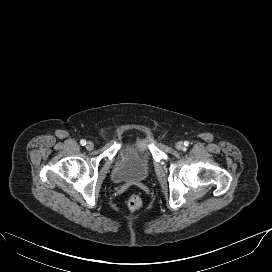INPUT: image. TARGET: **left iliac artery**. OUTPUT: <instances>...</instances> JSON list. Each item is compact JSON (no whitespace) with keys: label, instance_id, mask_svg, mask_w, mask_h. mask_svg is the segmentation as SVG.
Listing matches in <instances>:
<instances>
[{"label":"left iliac artery","instance_id":"44dca946","mask_svg":"<svg viewBox=\"0 0 272 272\" xmlns=\"http://www.w3.org/2000/svg\"><path fill=\"white\" fill-rule=\"evenodd\" d=\"M184 145H185V146H188V145H189V142H188V141H185V142H184Z\"/></svg>","mask_w":272,"mask_h":272}]
</instances>
